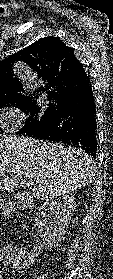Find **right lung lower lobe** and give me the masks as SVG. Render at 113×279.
I'll return each mask as SVG.
<instances>
[{
  "label": "right lung lower lobe",
  "mask_w": 113,
  "mask_h": 279,
  "mask_svg": "<svg viewBox=\"0 0 113 279\" xmlns=\"http://www.w3.org/2000/svg\"><path fill=\"white\" fill-rule=\"evenodd\" d=\"M54 117L25 134L42 140L62 142L85 150L94 158L97 153L96 106L88 79L70 98L58 102Z\"/></svg>",
  "instance_id": "98d812e1"
}]
</instances>
